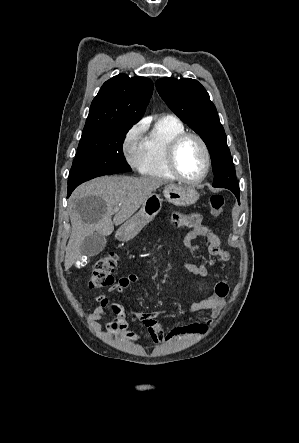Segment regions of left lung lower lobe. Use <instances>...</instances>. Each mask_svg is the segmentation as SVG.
<instances>
[{
    "label": "left lung lower lobe",
    "instance_id": "0a47b994",
    "mask_svg": "<svg viewBox=\"0 0 299 443\" xmlns=\"http://www.w3.org/2000/svg\"><path fill=\"white\" fill-rule=\"evenodd\" d=\"M227 189H229V188H227ZM229 190H231L235 194V196L237 197V199L239 201V198H240L239 189H229Z\"/></svg>",
    "mask_w": 299,
    "mask_h": 443
}]
</instances>
